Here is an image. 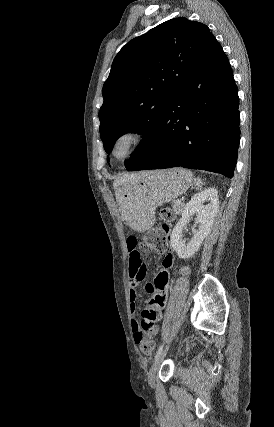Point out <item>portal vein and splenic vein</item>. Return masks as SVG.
<instances>
[{"mask_svg":"<svg viewBox=\"0 0 274 427\" xmlns=\"http://www.w3.org/2000/svg\"><path fill=\"white\" fill-rule=\"evenodd\" d=\"M176 204H181V200H177Z\"/></svg>","mask_w":274,"mask_h":427,"instance_id":"obj_1","label":"portal vein and splenic vein"}]
</instances>
